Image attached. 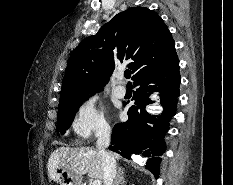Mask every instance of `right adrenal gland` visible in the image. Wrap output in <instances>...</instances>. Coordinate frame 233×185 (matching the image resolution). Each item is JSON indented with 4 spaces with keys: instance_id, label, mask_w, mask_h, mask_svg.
I'll list each match as a JSON object with an SVG mask.
<instances>
[{
    "instance_id": "right-adrenal-gland-1",
    "label": "right adrenal gland",
    "mask_w": 233,
    "mask_h": 185,
    "mask_svg": "<svg viewBox=\"0 0 233 185\" xmlns=\"http://www.w3.org/2000/svg\"><path fill=\"white\" fill-rule=\"evenodd\" d=\"M123 183H124L123 169L121 167H119L113 185H119V184H123Z\"/></svg>"
}]
</instances>
